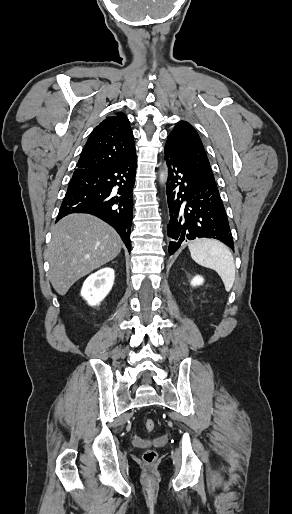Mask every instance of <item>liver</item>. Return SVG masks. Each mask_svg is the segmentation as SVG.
<instances>
[{
	"label": "liver",
	"instance_id": "1",
	"mask_svg": "<svg viewBox=\"0 0 292 514\" xmlns=\"http://www.w3.org/2000/svg\"><path fill=\"white\" fill-rule=\"evenodd\" d=\"M122 240L117 232L90 214H69L52 230L46 254L49 280L60 296L96 268L120 254Z\"/></svg>",
	"mask_w": 292,
	"mask_h": 514
}]
</instances>
